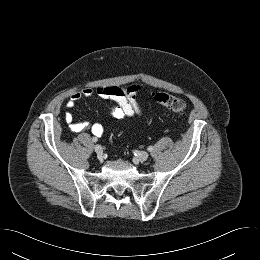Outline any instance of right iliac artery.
I'll use <instances>...</instances> for the list:
<instances>
[{"mask_svg":"<svg viewBox=\"0 0 260 260\" xmlns=\"http://www.w3.org/2000/svg\"><path fill=\"white\" fill-rule=\"evenodd\" d=\"M92 141H93V142H96V141H97V138H93Z\"/></svg>","mask_w":260,"mask_h":260,"instance_id":"right-iliac-artery-1","label":"right iliac artery"}]
</instances>
